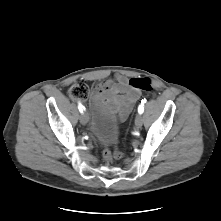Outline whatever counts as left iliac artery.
Returning <instances> with one entry per match:
<instances>
[{"instance_id":"1","label":"left iliac artery","mask_w":221,"mask_h":221,"mask_svg":"<svg viewBox=\"0 0 221 221\" xmlns=\"http://www.w3.org/2000/svg\"><path fill=\"white\" fill-rule=\"evenodd\" d=\"M144 103H146V100H142L141 105L138 107V113L140 114L144 112V107L142 106Z\"/></svg>"}]
</instances>
